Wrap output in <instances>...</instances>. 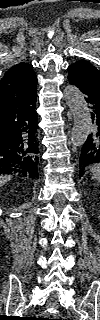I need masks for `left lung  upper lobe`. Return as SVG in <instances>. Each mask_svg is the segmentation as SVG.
Wrapping results in <instances>:
<instances>
[{"instance_id":"5c2ea615","label":"left lung upper lobe","mask_w":100,"mask_h":320,"mask_svg":"<svg viewBox=\"0 0 100 320\" xmlns=\"http://www.w3.org/2000/svg\"><path fill=\"white\" fill-rule=\"evenodd\" d=\"M68 74L75 75L100 93V71L89 61L80 60L68 67Z\"/></svg>"}]
</instances>
